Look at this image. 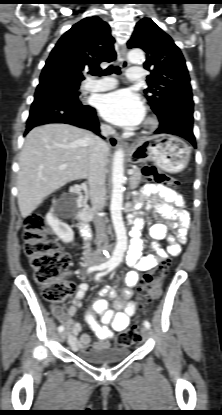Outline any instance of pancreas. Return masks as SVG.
<instances>
[{"instance_id":"1","label":"pancreas","mask_w":222,"mask_h":415,"mask_svg":"<svg viewBox=\"0 0 222 415\" xmlns=\"http://www.w3.org/2000/svg\"><path fill=\"white\" fill-rule=\"evenodd\" d=\"M142 178V173L139 168L133 169V174L130 177V187L131 189H135L138 187Z\"/></svg>"}]
</instances>
